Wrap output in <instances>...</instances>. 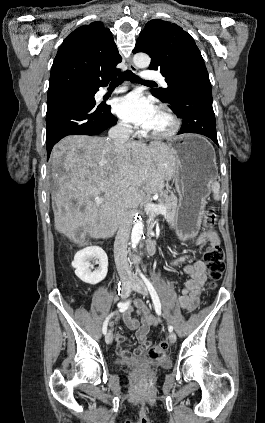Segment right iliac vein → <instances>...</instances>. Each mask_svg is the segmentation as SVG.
Instances as JSON below:
<instances>
[{
  "label": "right iliac vein",
  "mask_w": 265,
  "mask_h": 423,
  "mask_svg": "<svg viewBox=\"0 0 265 423\" xmlns=\"http://www.w3.org/2000/svg\"><path fill=\"white\" fill-rule=\"evenodd\" d=\"M131 283L129 281H125L122 284L120 296L122 299H125L129 296L131 292ZM105 341L107 344H111L113 341V334L111 331H109L105 336Z\"/></svg>",
  "instance_id": "obj_1"
}]
</instances>
